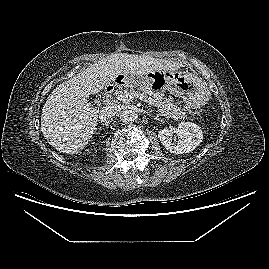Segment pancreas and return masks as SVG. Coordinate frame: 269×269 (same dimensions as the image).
Returning <instances> with one entry per match:
<instances>
[{
    "instance_id": "1",
    "label": "pancreas",
    "mask_w": 269,
    "mask_h": 269,
    "mask_svg": "<svg viewBox=\"0 0 269 269\" xmlns=\"http://www.w3.org/2000/svg\"><path fill=\"white\" fill-rule=\"evenodd\" d=\"M133 84L125 87L123 91H118L117 94L128 93L142 101H150L152 105L156 106L165 116L173 119H184L183 112L181 113L178 107L171 102V100L162 96L148 97L145 93L138 92L134 89Z\"/></svg>"
}]
</instances>
